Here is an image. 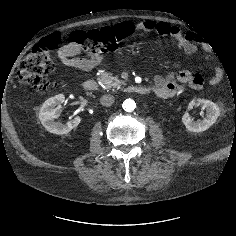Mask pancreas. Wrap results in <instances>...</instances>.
I'll return each instance as SVG.
<instances>
[{"label":"pancreas","mask_w":236,"mask_h":236,"mask_svg":"<svg viewBox=\"0 0 236 236\" xmlns=\"http://www.w3.org/2000/svg\"><path fill=\"white\" fill-rule=\"evenodd\" d=\"M99 81L104 88L109 89L111 87H119L124 84L123 81L117 77H113L111 73L103 72L100 74Z\"/></svg>","instance_id":"obj_1"}]
</instances>
